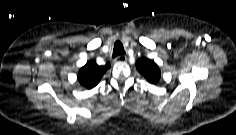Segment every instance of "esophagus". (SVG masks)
Returning <instances> with one entry per match:
<instances>
[{
    "instance_id": "obj_1",
    "label": "esophagus",
    "mask_w": 236,
    "mask_h": 135,
    "mask_svg": "<svg viewBox=\"0 0 236 135\" xmlns=\"http://www.w3.org/2000/svg\"><path fill=\"white\" fill-rule=\"evenodd\" d=\"M127 57L125 55H120L115 59V62H126Z\"/></svg>"
}]
</instances>
